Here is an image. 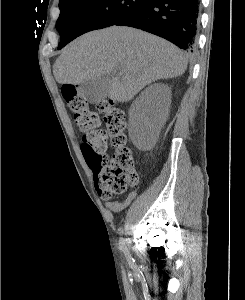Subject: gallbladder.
Returning a JSON list of instances; mask_svg holds the SVG:
<instances>
[{
    "label": "gallbladder",
    "mask_w": 245,
    "mask_h": 300,
    "mask_svg": "<svg viewBox=\"0 0 245 300\" xmlns=\"http://www.w3.org/2000/svg\"><path fill=\"white\" fill-rule=\"evenodd\" d=\"M110 85V76L101 75L95 79L82 83L80 91L88 102L97 103L107 97Z\"/></svg>",
    "instance_id": "gallbladder-1"
}]
</instances>
